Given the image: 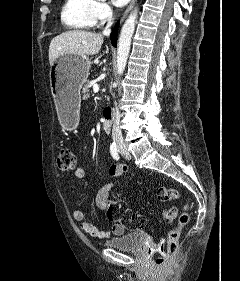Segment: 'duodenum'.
Returning a JSON list of instances; mask_svg holds the SVG:
<instances>
[{
    "label": "duodenum",
    "instance_id": "1",
    "mask_svg": "<svg viewBox=\"0 0 240 281\" xmlns=\"http://www.w3.org/2000/svg\"><path fill=\"white\" fill-rule=\"evenodd\" d=\"M102 128L104 132L110 133L112 129V115L111 111L108 109L104 110L103 118H102Z\"/></svg>",
    "mask_w": 240,
    "mask_h": 281
}]
</instances>
